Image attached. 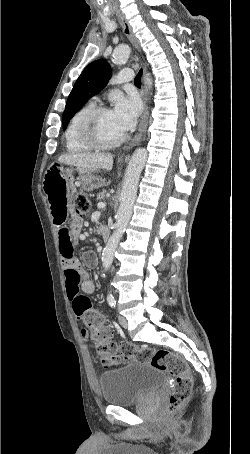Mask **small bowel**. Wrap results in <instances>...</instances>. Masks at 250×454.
<instances>
[{
	"instance_id": "1",
	"label": "small bowel",
	"mask_w": 250,
	"mask_h": 454,
	"mask_svg": "<svg viewBox=\"0 0 250 454\" xmlns=\"http://www.w3.org/2000/svg\"><path fill=\"white\" fill-rule=\"evenodd\" d=\"M75 188V179L71 173L50 171L46 174L44 192L50 204L53 222L58 227V241L67 295L77 319L87 325L91 315L103 314L92 305L87 297L94 292L95 287L73 252L75 240L81 233L82 220L75 217L69 227L65 225L69 200ZM83 256L88 264H95L94 252H85ZM82 334L87 336L86 330H82Z\"/></svg>"
}]
</instances>
